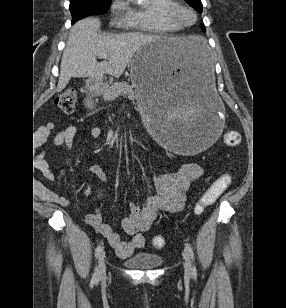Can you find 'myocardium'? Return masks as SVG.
Segmentation results:
<instances>
[{"instance_id":"1","label":"myocardium","mask_w":286,"mask_h":308,"mask_svg":"<svg viewBox=\"0 0 286 308\" xmlns=\"http://www.w3.org/2000/svg\"><path fill=\"white\" fill-rule=\"evenodd\" d=\"M182 11L190 12L194 17L193 22L191 23L184 22L180 15ZM163 13L167 18L177 23L181 27H190L197 22L196 11L193 8L189 7L188 5L177 0H173V2L170 5L166 6L163 9Z\"/></svg>"}]
</instances>
